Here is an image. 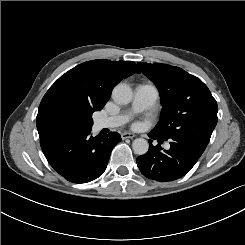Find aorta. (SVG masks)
Instances as JSON below:
<instances>
[{
  "instance_id": "obj_1",
  "label": "aorta",
  "mask_w": 245,
  "mask_h": 245,
  "mask_svg": "<svg viewBox=\"0 0 245 245\" xmlns=\"http://www.w3.org/2000/svg\"><path fill=\"white\" fill-rule=\"evenodd\" d=\"M112 96L114 101L119 104H128L133 98L132 89L127 84H118L114 87ZM133 151L138 155H144L149 149L147 140L136 138L132 143Z\"/></svg>"
}]
</instances>
